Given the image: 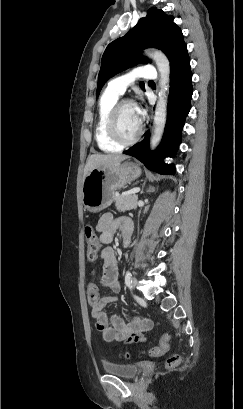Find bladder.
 <instances>
[{
    "label": "bladder",
    "instance_id": "1",
    "mask_svg": "<svg viewBox=\"0 0 243 409\" xmlns=\"http://www.w3.org/2000/svg\"><path fill=\"white\" fill-rule=\"evenodd\" d=\"M103 370L110 375H115L121 378L133 379L140 372L139 364H124L104 362Z\"/></svg>",
    "mask_w": 243,
    "mask_h": 409
}]
</instances>
